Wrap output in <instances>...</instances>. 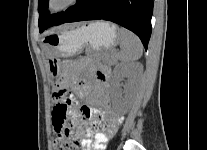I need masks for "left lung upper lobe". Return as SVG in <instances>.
<instances>
[{
    "label": "left lung upper lobe",
    "instance_id": "1",
    "mask_svg": "<svg viewBox=\"0 0 207 150\" xmlns=\"http://www.w3.org/2000/svg\"><path fill=\"white\" fill-rule=\"evenodd\" d=\"M48 9V0H38V12H39V30L43 32L50 26L55 25L61 17L66 13L60 12L50 15Z\"/></svg>",
    "mask_w": 207,
    "mask_h": 150
}]
</instances>
